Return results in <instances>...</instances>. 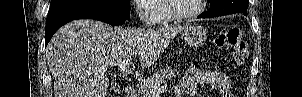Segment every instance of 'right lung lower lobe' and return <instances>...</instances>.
Wrapping results in <instances>:
<instances>
[{
  "label": "right lung lower lobe",
  "mask_w": 302,
  "mask_h": 97,
  "mask_svg": "<svg viewBox=\"0 0 302 97\" xmlns=\"http://www.w3.org/2000/svg\"><path fill=\"white\" fill-rule=\"evenodd\" d=\"M77 19H94L108 23L110 25H122L127 20L112 9L96 5L75 6L48 12L45 30V47L47 46L53 34L61 26Z\"/></svg>",
  "instance_id": "obj_1"
}]
</instances>
